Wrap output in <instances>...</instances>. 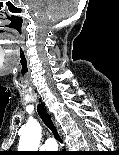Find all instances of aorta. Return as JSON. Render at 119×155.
<instances>
[{"instance_id": "obj_1", "label": "aorta", "mask_w": 119, "mask_h": 155, "mask_svg": "<svg viewBox=\"0 0 119 155\" xmlns=\"http://www.w3.org/2000/svg\"><path fill=\"white\" fill-rule=\"evenodd\" d=\"M41 137V126L37 121L28 122L20 138V151H37Z\"/></svg>"}]
</instances>
